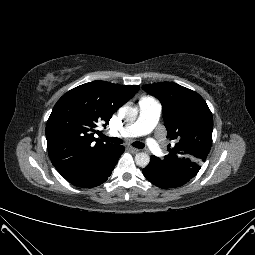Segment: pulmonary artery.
Masks as SVG:
<instances>
[{"label": "pulmonary artery", "instance_id": "1", "mask_svg": "<svg viewBox=\"0 0 255 255\" xmlns=\"http://www.w3.org/2000/svg\"><path fill=\"white\" fill-rule=\"evenodd\" d=\"M161 104L151 97H144L139 101V117L131 124L124 126L115 135L120 137L145 136L152 132L161 115ZM146 145L155 155L162 154V147L153 137H147Z\"/></svg>", "mask_w": 255, "mask_h": 255}]
</instances>
